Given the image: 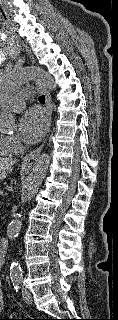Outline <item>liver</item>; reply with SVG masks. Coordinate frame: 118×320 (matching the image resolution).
<instances>
[{
    "mask_svg": "<svg viewBox=\"0 0 118 320\" xmlns=\"http://www.w3.org/2000/svg\"><path fill=\"white\" fill-rule=\"evenodd\" d=\"M15 162V159L0 157V180L6 177L8 171H10Z\"/></svg>",
    "mask_w": 118,
    "mask_h": 320,
    "instance_id": "6515ba94",
    "label": "liver"
}]
</instances>
